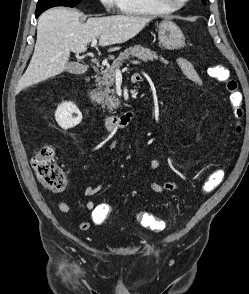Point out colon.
<instances>
[{
	"label": "colon",
	"instance_id": "5ec220e1",
	"mask_svg": "<svg viewBox=\"0 0 249 294\" xmlns=\"http://www.w3.org/2000/svg\"><path fill=\"white\" fill-rule=\"evenodd\" d=\"M209 75L223 82L228 91V101L236 120L235 132L241 130L240 120L243 116L242 103L243 98L237 83L229 78L224 69L218 65H212L208 68ZM32 168L38 182L46 189L60 191L68 184V179L64 171L55 163L54 152L50 147L38 149L32 158ZM225 172L222 169L213 171L203 184V193H210L216 189L223 181ZM106 212L110 213V206L106 207ZM139 224L153 231H161L165 228V223L149 213H140L137 217Z\"/></svg>",
	"mask_w": 249,
	"mask_h": 294
}]
</instances>
